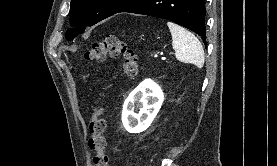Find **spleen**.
I'll return each mask as SVG.
<instances>
[{
    "instance_id": "obj_1",
    "label": "spleen",
    "mask_w": 277,
    "mask_h": 166,
    "mask_svg": "<svg viewBox=\"0 0 277 166\" xmlns=\"http://www.w3.org/2000/svg\"><path fill=\"white\" fill-rule=\"evenodd\" d=\"M167 25L172 35V47L176 59L202 68L204 65V50L198 38L173 22H168Z\"/></svg>"
}]
</instances>
